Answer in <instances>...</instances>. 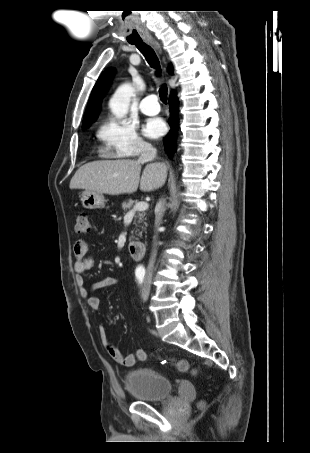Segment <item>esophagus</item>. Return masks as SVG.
I'll return each mask as SVG.
<instances>
[{"mask_svg": "<svg viewBox=\"0 0 310 453\" xmlns=\"http://www.w3.org/2000/svg\"><path fill=\"white\" fill-rule=\"evenodd\" d=\"M147 41L152 43L157 49H160L159 43L156 40H154L153 38H151V37L147 38Z\"/></svg>", "mask_w": 310, "mask_h": 453, "instance_id": "esophagus-1", "label": "esophagus"}]
</instances>
